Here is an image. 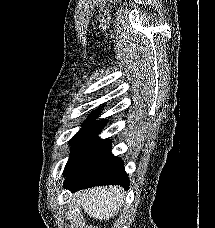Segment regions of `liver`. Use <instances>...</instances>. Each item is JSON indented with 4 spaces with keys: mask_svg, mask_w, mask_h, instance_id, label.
Listing matches in <instances>:
<instances>
[{
    "mask_svg": "<svg viewBox=\"0 0 215 228\" xmlns=\"http://www.w3.org/2000/svg\"><path fill=\"white\" fill-rule=\"evenodd\" d=\"M125 196L126 192L120 186H98L75 194L76 202L84 214L100 222H107L117 216L120 208L124 206Z\"/></svg>",
    "mask_w": 215,
    "mask_h": 228,
    "instance_id": "1",
    "label": "liver"
}]
</instances>
